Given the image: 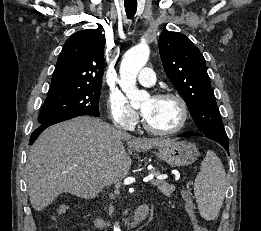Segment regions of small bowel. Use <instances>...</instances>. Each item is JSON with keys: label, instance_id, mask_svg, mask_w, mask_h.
<instances>
[{"label": "small bowel", "instance_id": "small-bowel-1", "mask_svg": "<svg viewBox=\"0 0 261 231\" xmlns=\"http://www.w3.org/2000/svg\"><path fill=\"white\" fill-rule=\"evenodd\" d=\"M182 195H183V198H184V200H185L186 202L190 199V196H189L188 192L183 191Z\"/></svg>", "mask_w": 261, "mask_h": 231}]
</instances>
